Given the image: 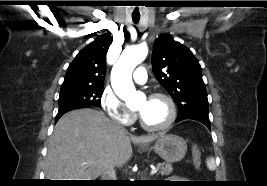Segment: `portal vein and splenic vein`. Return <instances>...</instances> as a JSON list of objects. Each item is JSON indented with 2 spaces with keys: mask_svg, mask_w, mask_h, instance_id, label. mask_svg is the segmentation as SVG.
<instances>
[{
  "mask_svg": "<svg viewBox=\"0 0 267 186\" xmlns=\"http://www.w3.org/2000/svg\"><path fill=\"white\" fill-rule=\"evenodd\" d=\"M157 171H158V168H154V169H152V170L150 171V174H151V175H154V174L157 173Z\"/></svg>",
  "mask_w": 267,
  "mask_h": 186,
  "instance_id": "obj_1",
  "label": "portal vein and splenic vein"
}]
</instances>
